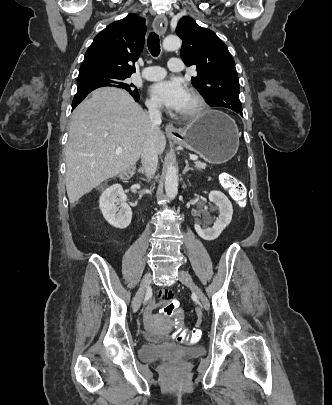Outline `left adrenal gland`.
Masks as SVG:
<instances>
[{"label":"left adrenal gland","mask_w":332,"mask_h":405,"mask_svg":"<svg viewBox=\"0 0 332 405\" xmlns=\"http://www.w3.org/2000/svg\"><path fill=\"white\" fill-rule=\"evenodd\" d=\"M185 164H186V166H185V168L183 170V174H186V172L189 171V170H193L192 168L189 167V163H188L187 160L185 161Z\"/></svg>","instance_id":"obj_1"}]
</instances>
